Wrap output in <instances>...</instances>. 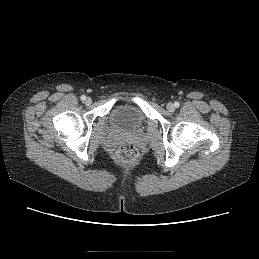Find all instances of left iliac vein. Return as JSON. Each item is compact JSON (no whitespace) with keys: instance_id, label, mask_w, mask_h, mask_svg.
Returning a JSON list of instances; mask_svg holds the SVG:
<instances>
[{"instance_id":"left-iliac-vein-1","label":"left iliac vein","mask_w":259,"mask_h":259,"mask_svg":"<svg viewBox=\"0 0 259 259\" xmlns=\"http://www.w3.org/2000/svg\"><path fill=\"white\" fill-rule=\"evenodd\" d=\"M166 108L169 112H173L175 110V106L173 103H168Z\"/></svg>"}]
</instances>
